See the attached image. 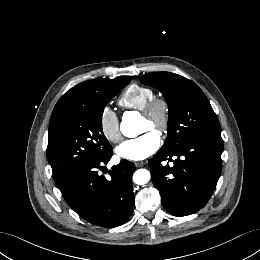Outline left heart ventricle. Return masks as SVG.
I'll return each mask as SVG.
<instances>
[{"instance_id": "left-heart-ventricle-1", "label": "left heart ventricle", "mask_w": 260, "mask_h": 260, "mask_svg": "<svg viewBox=\"0 0 260 260\" xmlns=\"http://www.w3.org/2000/svg\"><path fill=\"white\" fill-rule=\"evenodd\" d=\"M149 128H151L149 120L146 117H143V131Z\"/></svg>"}]
</instances>
